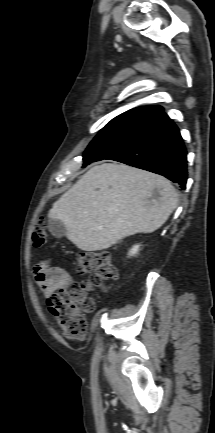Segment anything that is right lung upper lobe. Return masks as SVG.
Returning a JSON list of instances; mask_svg holds the SVG:
<instances>
[{"label": "right lung upper lobe", "mask_w": 215, "mask_h": 433, "mask_svg": "<svg viewBox=\"0 0 215 433\" xmlns=\"http://www.w3.org/2000/svg\"><path fill=\"white\" fill-rule=\"evenodd\" d=\"M162 109L163 108L160 106L137 107L117 116L114 119L141 118L149 120L154 115L162 111Z\"/></svg>", "instance_id": "1"}]
</instances>
